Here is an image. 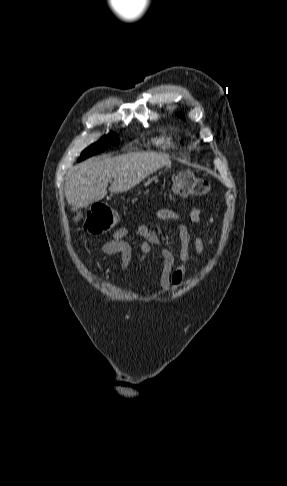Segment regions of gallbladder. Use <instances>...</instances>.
Instances as JSON below:
<instances>
[{
  "label": "gallbladder",
  "instance_id": "gallbladder-1",
  "mask_svg": "<svg viewBox=\"0 0 287 486\" xmlns=\"http://www.w3.org/2000/svg\"><path fill=\"white\" fill-rule=\"evenodd\" d=\"M73 211L76 212V216L74 217V221L77 222L83 216L82 211L80 209H78L77 207H73Z\"/></svg>",
  "mask_w": 287,
  "mask_h": 486
}]
</instances>
